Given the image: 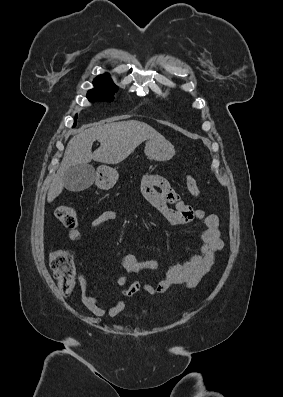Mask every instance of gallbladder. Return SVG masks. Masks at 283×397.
Masks as SVG:
<instances>
[{"instance_id":"obj_1","label":"gallbladder","mask_w":283,"mask_h":397,"mask_svg":"<svg viewBox=\"0 0 283 397\" xmlns=\"http://www.w3.org/2000/svg\"><path fill=\"white\" fill-rule=\"evenodd\" d=\"M95 179L94 168L89 164L69 167L63 176L64 187L73 192H80L89 188Z\"/></svg>"}]
</instances>
